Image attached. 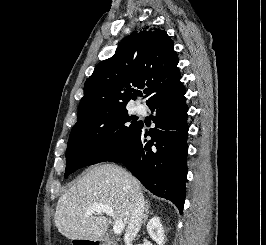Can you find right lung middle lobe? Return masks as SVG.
<instances>
[{"instance_id":"1","label":"right lung middle lobe","mask_w":266,"mask_h":245,"mask_svg":"<svg viewBox=\"0 0 266 245\" xmlns=\"http://www.w3.org/2000/svg\"><path fill=\"white\" fill-rule=\"evenodd\" d=\"M138 126V122L128 117L126 108L95 113L78 120L68 140L64 177L79 168L108 161L125 150Z\"/></svg>"}]
</instances>
